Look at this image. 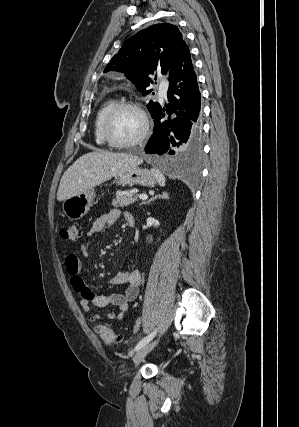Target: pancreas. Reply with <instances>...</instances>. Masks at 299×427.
<instances>
[{"label":"pancreas","mask_w":299,"mask_h":427,"mask_svg":"<svg viewBox=\"0 0 299 427\" xmlns=\"http://www.w3.org/2000/svg\"><path fill=\"white\" fill-rule=\"evenodd\" d=\"M137 201V197H134L132 194H129L127 192H120L116 195V198L112 201V206L117 207H124L128 206L132 203Z\"/></svg>","instance_id":"pancreas-1"}]
</instances>
